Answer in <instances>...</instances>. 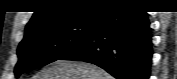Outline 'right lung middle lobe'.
<instances>
[{
  "label": "right lung middle lobe",
  "mask_w": 177,
  "mask_h": 79,
  "mask_svg": "<svg viewBox=\"0 0 177 79\" xmlns=\"http://www.w3.org/2000/svg\"><path fill=\"white\" fill-rule=\"evenodd\" d=\"M100 15L80 17L70 21L54 23L36 28L25 34L19 44V61L15 67V76L44 66L80 45L93 30Z\"/></svg>",
  "instance_id": "right-lung-middle-lobe-1"
}]
</instances>
